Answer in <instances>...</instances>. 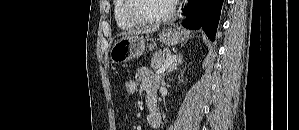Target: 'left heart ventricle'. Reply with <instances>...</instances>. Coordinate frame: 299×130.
Instances as JSON below:
<instances>
[{"instance_id": "obj_1", "label": "left heart ventricle", "mask_w": 299, "mask_h": 130, "mask_svg": "<svg viewBox=\"0 0 299 130\" xmlns=\"http://www.w3.org/2000/svg\"><path fill=\"white\" fill-rule=\"evenodd\" d=\"M170 5L171 2L167 0H136L134 11L144 18L160 17L167 14Z\"/></svg>"}]
</instances>
